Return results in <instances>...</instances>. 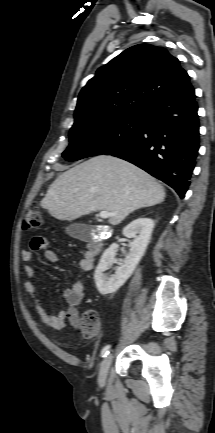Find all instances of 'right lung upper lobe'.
<instances>
[{"instance_id": "obj_1", "label": "right lung upper lobe", "mask_w": 215, "mask_h": 433, "mask_svg": "<svg viewBox=\"0 0 215 433\" xmlns=\"http://www.w3.org/2000/svg\"><path fill=\"white\" fill-rule=\"evenodd\" d=\"M188 84L187 72L165 48L148 44L130 47L100 67L81 90L74 124L143 115Z\"/></svg>"}]
</instances>
